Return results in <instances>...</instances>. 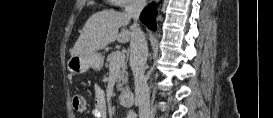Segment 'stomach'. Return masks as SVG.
Wrapping results in <instances>:
<instances>
[{
    "instance_id": "0dacf381",
    "label": "stomach",
    "mask_w": 273,
    "mask_h": 118,
    "mask_svg": "<svg viewBox=\"0 0 273 118\" xmlns=\"http://www.w3.org/2000/svg\"><path fill=\"white\" fill-rule=\"evenodd\" d=\"M104 63V57L94 52L87 55H74L67 62V68L72 74L85 73L89 68L101 70Z\"/></svg>"
}]
</instances>
